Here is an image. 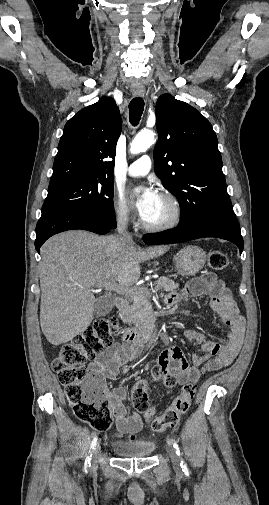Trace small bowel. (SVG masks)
I'll use <instances>...</instances> for the list:
<instances>
[{
  "label": "small bowel",
  "mask_w": 269,
  "mask_h": 505,
  "mask_svg": "<svg viewBox=\"0 0 269 505\" xmlns=\"http://www.w3.org/2000/svg\"><path fill=\"white\" fill-rule=\"evenodd\" d=\"M201 296L210 297L211 308L228 326L226 340L219 344L209 340L202 332L188 331V339L200 345L203 355L194 354L189 361L179 347H169L163 350L157 358L152 370L155 378L169 376L179 385L196 382L202 375L229 366L237 356L244 336L245 319L240 314L230 290L216 274L207 272L190 281L181 294L171 293L168 295L166 302L169 305H174L183 297ZM138 353L139 347L126 343H114L88 367L91 373L99 375L103 380H113L117 377L120 366L128 360L136 358ZM105 393L115 418L116 436H127L130 440L135 441L137 434L143 428V422L137 412L127 415L124 406L127 390L124 387H117Z\"/></svg>",
  "instance_id": "obj_1"
}]
</instances>
